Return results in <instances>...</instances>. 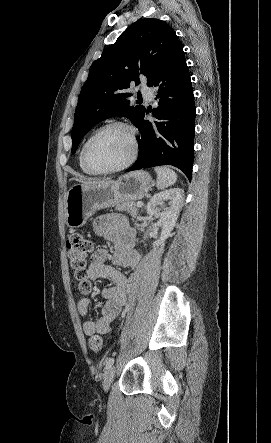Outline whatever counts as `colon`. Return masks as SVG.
Returning <instances> with one entry per match:
<instances>
[{
	"mask_svg": "<svg viewBox=\"0 0 271 443\" xmlns=\"http://www.w3.org/2000/svg\"><path fill=\"white\" fill-rule=\"evenodd\" d=\"M68 256L70 265L74 269V274L79 282L82 292L90 290V281L88 280L87 262L93 251V242L81 235L72 234L67 240ZM89 347L95 353L103 351V340L100 335L94 334L89 339Z\"/></svg>",
	"mask_w": 271,
	"mask_h": 443,
	"instance_id": "obj_1",
	"label": "colon"
}]
</instances>
